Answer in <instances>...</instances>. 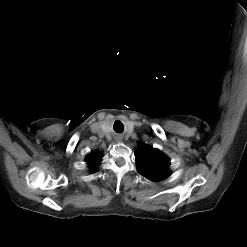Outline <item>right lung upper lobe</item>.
Here are the masks:
<instances>
[{
    "label": "right lung upper lobe",
    "mask_w": 247,
    "mask_h": 247,
    "mask_svg": "<svg viewBox=\"0 0 247 247\" xmlns=\"http://www.w3.org/2000/svg\"><path fill=\"white\" fill-rule=\"evenodd\" d=\"M101 157L99 152H95L87 157L86 162L92 167V170H95V166L98 164Z\"/></svg>",
    "instance_id": "cb5924a9"
}]
</instances>
